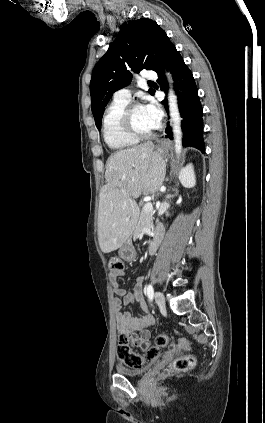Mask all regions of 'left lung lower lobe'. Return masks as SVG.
<instances>
[{
    "mask_svg": "<svg viewBox=\"0 0 265 423\" xmlns=\"http://www.w3.org/2000/svg\"><path fill=\"white\" fill-rule=\"evenodd\" d=\"M165 68L171 71L175 80L178 106L181 117L183 118L181 125L184 134L183 144L185 146L195 147L204 152L202 107L198 97L197 87L191 71L172 43L168 44L162 66L156 71L160 89L167 91L168 85L164 74ZM162 104L168 111L167 101H162ZM165 132L167 134L166 138L173 139L172 129L169 125L166 127Z\"/></svg>",
    "mask_w": 265,
    "mask_h": 423,
    "instance_id": "0a47b994",
    "label": "left lung lower lobe"
}]
</instances>
